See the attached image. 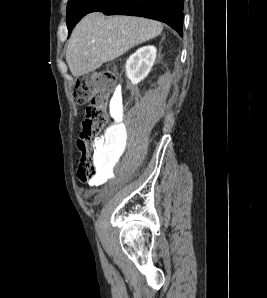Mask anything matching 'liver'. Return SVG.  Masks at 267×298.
Wrapping results in <instances>:
<instances>
[{"label":"liver","instance_id":"liver-1","mask_svg":"<svg viewBox=\"0 0 267 298\" xmlns=\"http://www.w3.org/2000/svg\"><path fill=\"white\" fill-rule=\"evenodd\" d=\"M161 23L130 16L86 15L75 26L67 47L66 61L74 77H80L113 61L132 47L161 34Z\"/></svg>","mask_w":267,"mask_h":298}]
</instances>
